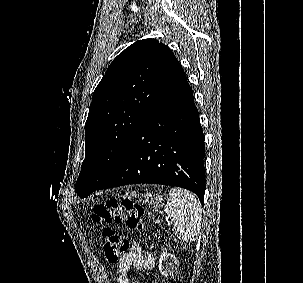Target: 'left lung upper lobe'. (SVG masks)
<instances>
[{"label":"left lung upper lobe","instance_id":"left-lung-upper-lobe-1","mask_svg":"<svg viewBox=\"0 0 303 283\" xmlns=\"http://www.w3.org/2000/svg\"><path fill=\"white\" fill-rule=\"evenodd\" d=\"M175 60L165 44L143 39L110 64L89 108L77 194L96 189L111 177Z\"/></svg>","mask_w":303,"mask_h":283}]
</instances>
